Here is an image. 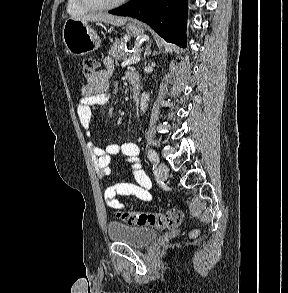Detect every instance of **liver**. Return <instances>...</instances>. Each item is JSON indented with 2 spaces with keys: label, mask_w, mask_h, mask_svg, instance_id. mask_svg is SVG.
Here are the masks:
<instances>
[{
  "label": "liver",
  "mask_w": 288,
  "mask_h": 293,
  "mask_svg": "<svg viewBox=\"0 0 288 293\" xmlns=\"http://www.w3.org/2000/svg\"><path fill=\"white\" fill-rule=\"evenodd\" d=\"M72 19H78L81 21H96V22H104V23H109L115 26H121L124 25L128 18L127 17H119V16H114L108 13H91V14H86V15H73L71 17Z\"/></svg>",
  "instance_id": "obj_1"
}]
</instances>
